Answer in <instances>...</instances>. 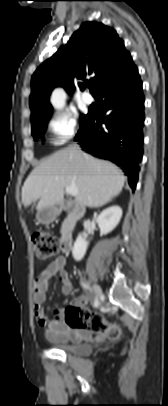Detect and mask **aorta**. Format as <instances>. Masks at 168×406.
Here are the masks:
<instances>
[{"label": "aorta", "instance_id": "obj_1", "mask_svg": "<svg viewBox=\"0 0 168 406\" xmlns=\"http://www.w3.org/2000/svg\"><path fill=\"white\" fill-rule=\"evenodd\" d=\"M66 102V93L63 89L57 88L51 95V104L55 109L61 110L64 108Z\"/></svg>", "mask_w": 168, "mask_h": 406}]
</instances>
